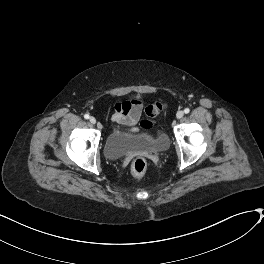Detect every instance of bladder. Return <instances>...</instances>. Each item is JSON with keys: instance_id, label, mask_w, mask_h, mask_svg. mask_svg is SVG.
Instances as JSON below:
<instances>
[{"instance_id": "31cf9c89", "label": "bladder", "mask_w": 264, "mask_h": 264, "mask_svg": "<svg viewBox=\"0 0 264 264\" xmlns=\"http://www.w3.org/2000/svg\"><path fill=\"white\" fill-rule=\"evenodd\" d=\"M168 147L169 137L163 131L155 134L153 130L134 133L117 129L107 136L104 154L108 160L115 161L135 153H163Z\"/></svg>"}]
</instances>
